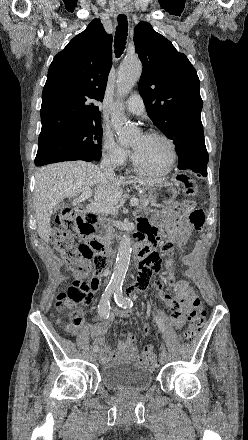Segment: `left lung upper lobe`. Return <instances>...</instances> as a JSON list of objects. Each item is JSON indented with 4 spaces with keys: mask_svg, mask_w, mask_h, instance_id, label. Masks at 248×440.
<instances>
[{
    "mask_svg": "<svg viewBox=\"0 0 248 440\" xmlns=\"http://www.w3.org/2000/svg\"><path fill=\"white\" fill-rule=\"evenodd\" d=\"M135 50L143 64L139 92L154 124L175 144L178 167L208 163L200 81L188 58L147 22L134 29Z\"/></svg>",
    "mask_w": 248,
    "mask_h": 440,
    "instance_id": "1",
    "label": "left lung upper lobe"
}]
</instances>
